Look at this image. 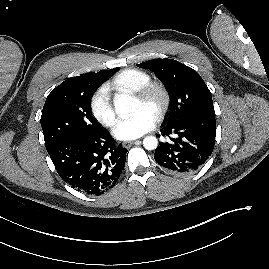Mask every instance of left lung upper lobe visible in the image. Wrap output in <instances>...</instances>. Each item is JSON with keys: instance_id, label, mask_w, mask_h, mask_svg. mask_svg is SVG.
Wrapping results in <instances>:
<instances>
[{"instance_id": "obj_1", "label": "left lung upper lobe", "mask_w": 269, "mask_h": 269, "mask_svg": "<svg viewBox=\"0 0 269 269\" xmlns=\"http://www.w3.org/2000/svg\"><path fill=\"white\" fill-rule=\"evenodd\" d=\"M137 66L153 71L165 85L170 96L168 124L190 117H215L211 92L194 69L173 59H154Z\"/></svg>"}]
</instances>
